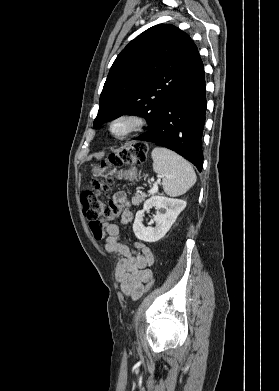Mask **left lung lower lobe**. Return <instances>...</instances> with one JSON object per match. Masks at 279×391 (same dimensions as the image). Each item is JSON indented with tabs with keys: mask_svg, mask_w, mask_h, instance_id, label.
<instances>
[{
	"mask_svg": "<svg viewBox=\"0 0 279 391\" xmlns=\"http://www.w3.org/2000/svg\"><path fill=\"white\" fill-rule=\"evenodd\" d=\"M205 112L206 87L203 63L200 61L191 76L161 109L154 125L137 139L167 147L201 171Z\"/></svg>",
	"mask_w": 279,
	"mask_h": 391,
	"instance_id": "1",
	"label": "left lung lower lobe"
}]
</instances>
